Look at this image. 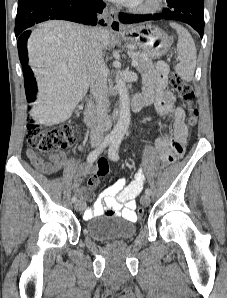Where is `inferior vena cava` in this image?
<instances>
[{"mask_svg":"<svg viewBox=\"0 0 227 298\" xmlns=\"http://www.w3.org/2000/svg\"><path fill=\"white\" fill-rule=\"evenodd\" d=\"M86 57L90 74V90L96 103L97 125L91 130L90 138L100 142L104 137V121L108 114L107 70L102 46L94 30L87 31Z\"/></svg>","mask_w":227,"mask_h":298,"instance_id":"1","label":"inferior vena cava"}]
</instances>
